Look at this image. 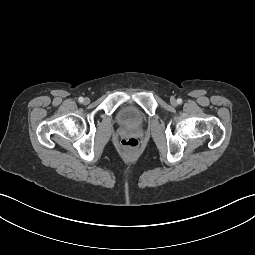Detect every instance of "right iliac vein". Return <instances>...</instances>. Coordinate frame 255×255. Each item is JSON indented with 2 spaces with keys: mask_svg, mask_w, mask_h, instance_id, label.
I'll use <instances>...</instances> for the list:
<instances>
[{
  "mask_svg": "<svg viewBox=\"0 0 255 255\" xmlns=\"http://www.w3.org/2000/svg\"><path fill=\"white\" fill-rule=\"evenodd\" d=\"M89 101H90V99H89V98H85V99H84V103H85V104H88V103H89Z\"/></svg>",
  "mask_w": 255,
  "mask_h": 255,
  "instance_id": "obj_1",
  "label": "right iliac vein"
}]
</instances>
